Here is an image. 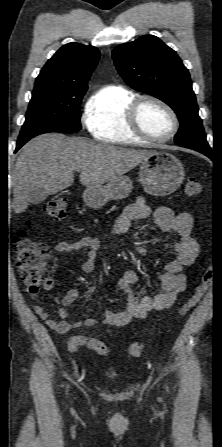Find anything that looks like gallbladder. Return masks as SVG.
<instances>
[{
	"instance_id": "gallbladder-1",
	"label": "gallbladder",
	"mask_w": 222,
	"mask_h": 447,
	"mask_svg": "<svg viewBox=\"0 0 222 447\" xmlns=\"http://www.w3.org/2000/svg\"><path fill=\"white\" fill-rule=\"evenodd\" d=\"M48 197V194L45 193L42 189H35L33 196L30 200V204L36 205L43 202Z\"/></svg>"
}]
</instances>
